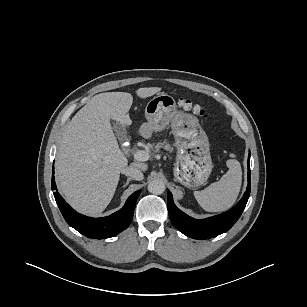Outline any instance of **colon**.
<instances>
[{"instance_id":"colon-1","label":"colon","mask_w":307,"mask_h":307,"mask_svg":"<svg viewBox=\"0 0 307 307\" xmlns=\"http://www.w3.org/2000/svg\"><path fill=\"white\" fill-rule=\"evenodd\" d=\"M178 105L185 111H192L195 115L199 116L202 119L207 118V113L205 109L198 103H195L189 99L181 98L178 101Z\"/></svg>"}]
</instances>
